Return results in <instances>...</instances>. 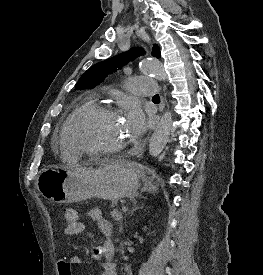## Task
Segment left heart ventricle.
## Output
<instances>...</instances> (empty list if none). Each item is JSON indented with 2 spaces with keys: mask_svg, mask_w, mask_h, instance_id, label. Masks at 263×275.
Listing matches in <instances>:
<instances>
[{
  "mask_svg": "<svg viewBox=\"0 0 263 275\" xmlns=\"http://www.w3.org/2000/svg\"><path fill=\"white\" fill-rule=\"evenodd\" d=\"M132 137L120 117L99 114L85 120L79 126L75 139L84 148L99 150L127 143Z\"/></svg>",
  "mask_w": 263,
  "mask_h": 275,
  "instance_id": "1",
  "label": "left heart ventricle"
}]
</instances>
